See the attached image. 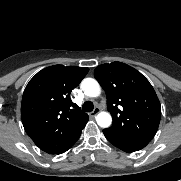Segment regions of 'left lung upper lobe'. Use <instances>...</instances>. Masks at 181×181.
<instances>
[{
  "label": "left lung upper lobe",
  "instance_id": "1",
  "mask_svg": "<svg viewBox=\"0 0 181 181\" xmlns=\"http://www.w3.org/2000/svg\"><path fill=\"white\" fill-rule=\"evenodd\" d=\"M94 76L105 90L113 118L112 126L103 133L149 143L161 119L160 102L149 81L122 62L99 65Z\"/></svg>",
  "mask_w": 181,
  "mask_h": 181
}]
</instances>
